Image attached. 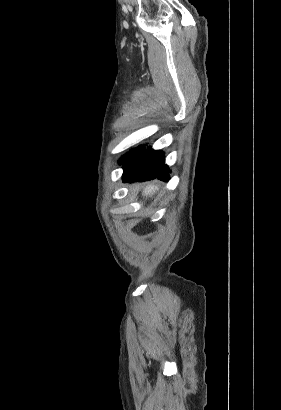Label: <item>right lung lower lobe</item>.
Segmentation results:
<instances>
[{"instance_id":"1","label":"right lung lower lobe","mask_w":281,"mask_h":410,"mask_svg":"<svg viewBox=\"0 0 281 410\" xmlns=\"http://www.w3.org/2000/svg\"><path fill=\"white\" fill-rule=\"evenodd\" d=\"M136 153H130L123 162V181H147L159 179L168 181L170 170L165 164L164 152L153 150L151 147L135 149Z\"/></svg>"}]
</instances>
